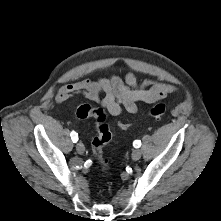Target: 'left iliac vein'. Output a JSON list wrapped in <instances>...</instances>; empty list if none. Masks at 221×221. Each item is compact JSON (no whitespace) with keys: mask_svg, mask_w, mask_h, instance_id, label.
I'll use <instances>...</instances> for the list:
<instances>
[{"mask_svg":"<svg viewBox=\"0 0 221 221\" xmlns=\"http://www.w3.org/2000/svg\"><path fill=\"white\" fill-rule=\"evenodd\" d=\"M141 155H142V152L140 149H135L133 152H132V159L133 160H139L141 158Z\"/></svg>","mask_w":221,"mask_h":221,"instance_id":"4c4485c4","label":"left iliac vein"}]
</instances>
